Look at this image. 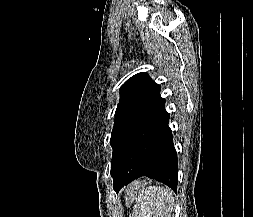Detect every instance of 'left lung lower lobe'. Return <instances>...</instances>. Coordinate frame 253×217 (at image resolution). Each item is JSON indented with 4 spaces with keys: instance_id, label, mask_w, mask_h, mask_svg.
Returning a JSON list of instances; mask_svg holds the SVG:
<instances>
[{
    "instance_id": "1",
    "label": "left lung lower lobe",
    "mask_w": 253,
    "mask_h": 217,
    "mask_svg": "<svg viewBox=\"0 0 253 217\" xmlns=\"http://www.w3.org/2000/svg\"><path fill=\"white\" fill-rule=\"evenodd\" d=\"M168 122L165 100L161 99L126 133L111 167L116 192L141 176L177 190V154Z\"/></svg>"
}]
</instances>
